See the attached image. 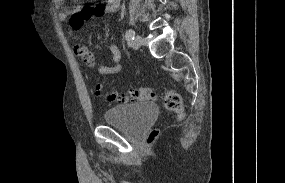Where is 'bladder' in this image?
Here are the masks:
<instances>
[{
  "instance_id": "31cf9c89",
  "label": "bladder",
  "mask_w": 285,
  "mask_h": 183,
  "mask_svg": "<svg viewBox=\"0 0 285 183\" xmlns=\"http://www.w3.org/2000/svg\"><path fill=\"white\" fill-rule=\"evenodd\" d=\"M158 108L151 102L118 105L104 112L106 124L119 126L127 132L137 134L145 130L156 118Z\"/></svg>"
}]
</instances>
